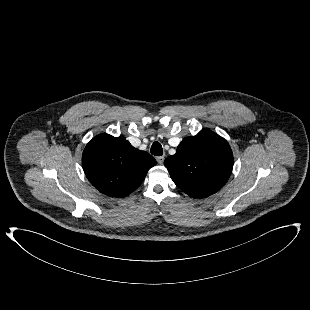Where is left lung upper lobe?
Listing matches in <instances>:
<instances>
[{"instance_id": "obj_1", "label": "left lung upper lobe", "mask_w": 310, "mask_h": 310, "mask_svg": "<svg viewBox=\"0 0 310 310\" xmlns=\"http://www.w3.org/2000/svg\"><path fill=\"white\" fill-rule=\"evenodd\" d=\"M164 165L174 183L193 198H205L220 190L233 168L228 142L215 132L203 129L186 137Z\"/></svg>"}]
</instances>
